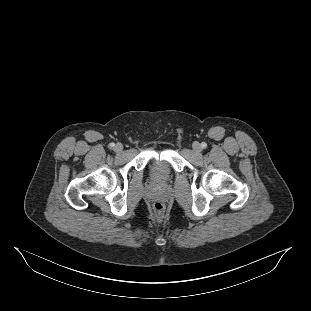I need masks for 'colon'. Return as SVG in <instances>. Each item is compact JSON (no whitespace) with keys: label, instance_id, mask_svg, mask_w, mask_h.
Here are the masks:
<instances>
[{"label":"colon","instance_id":"colon-1","mask_svg":"<svg viewBox=\"0 0 311 311\" xmlns=\"http://www.w3.org/2000/svg\"><path fill=\"white\" fill-rule=\"evenodd\" d=\"M153 208L157 213H161L163 211V205L161 203H155Z\"/></svg>","mask_w":311,"mask_h":311}]
</instances>
